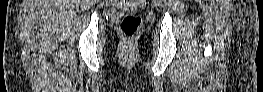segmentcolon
<instances>
[{
	"mask_svg": "<svg viewBox=\"0 0 263 92\" xmlns=\"http://www.w3.org/2000/svg\"><path fill=\"white\" fill-rule=\"evenodd\" d=\"M117 2V1H115ZM137 2L143 3L144 0H138ZM141 24V18L135 14H127L123 17L121 22V31L126 39V41H132Z\"/></svg>",
	"mask_w": 263,
	"mask_h": 92,
	"instance_id": "obj_1",
	"label": "colon"
}]
</instances>
